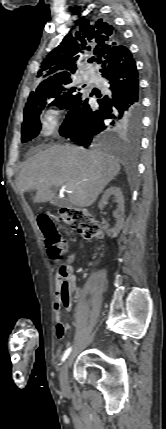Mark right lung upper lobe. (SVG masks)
Wrapping results in <instances>:
<instances>
[{
  "label": "right lung upper lobe",
  "instance_id": "1",
  "mask_svg": "<svg viewBox=\"0 0 166 429\" xmlns=\"http://www.w3.org/2000/svg\"><path fill=\"white\" fill-rule=\"evenodd\" d=\"M109 26L80 25V31L67 34L59 46L53 49L41 64L37 77L43 79L39 86L60 83L75 73L76 63L93 51L97 61L115 55L123 46L119 45L115 35H111Z\"/></svg>",
  "mask_w": 166,
  "mask_h": 429
}]
</instances>
